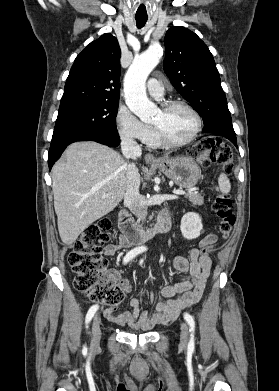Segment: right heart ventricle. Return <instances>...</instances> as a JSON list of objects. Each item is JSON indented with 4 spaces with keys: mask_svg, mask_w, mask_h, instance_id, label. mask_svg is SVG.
Segmentation results:
<instances>
[{
    "mask_svg": "<svg viewBox=\"0 0 279 391\" xmlns=\"http://www.w3.org/2000/svg\"><path fill=\"white\" fill-rule=\"evenodd\" d=\"M147 142H148L149 145L154 146V147L160 145L158 140H157V138H156V136H155V134L153 132L151 133V136H150V138H149V140Z\"/></svg>",
    "mask_w": 279,
    "mask_h": 391,
    "instance_id": "right-heart-ventricle-1",
    "label": "right heart ventricle"
}]
</instances>
